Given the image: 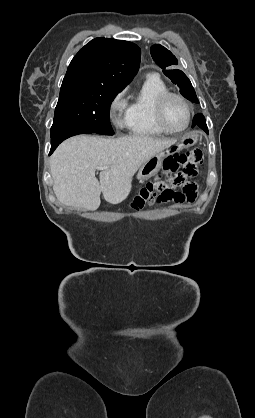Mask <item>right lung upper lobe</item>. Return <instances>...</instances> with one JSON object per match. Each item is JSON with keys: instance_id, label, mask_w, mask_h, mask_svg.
Segmentation results:
<instances>
[{"instance_id": "right-lung-upper-lobe-1", "label": "right lung upper lobe", "mask_w": 255, "mask_h": 418, "mask_svg": "<svg viewBox=\"0 0 255 418\" xmlns=\"http://www.w3.org/2000/svg\"><path fill=\"white\" fill-rule=\"evenodd\" d=\"M140 48L128 41L95 38L72 59L62 85L123 89L136 75Z\"/></svg>"}]
</instances>
